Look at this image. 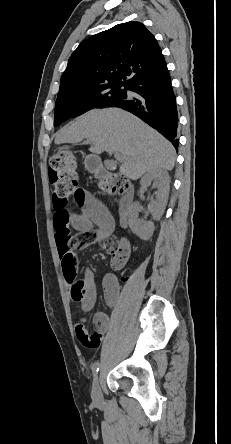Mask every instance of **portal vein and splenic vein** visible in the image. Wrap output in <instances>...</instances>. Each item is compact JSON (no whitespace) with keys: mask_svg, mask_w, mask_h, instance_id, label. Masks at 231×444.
Masks as SVG:
<instances>
[{"mask_svg":"<svg viewBox=\"0 0 231 444\" xmlns=\"http://www.w3.org/2000/svg\"><path fill=\"white\" fill-rule=\"evenodd\" d=\"M86 142H87V143H90L91 141H90V140H87ZM114 157H115L116 160H118V161H122V156H121L119 153H115V154H114Z\"/></svg>","mask_w":231,"mask_h":444,"instance_id":"18ae733b","label":"portal vein and splenic vein"}]
</instances>
